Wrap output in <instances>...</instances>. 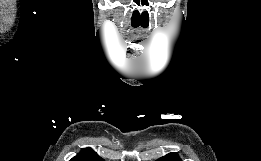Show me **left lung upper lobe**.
Wrapping results in <instances>:
<instances>
[{"label":"left lung upper lobe","instance_id":"5c2ea615","mask_svg":"<svg viewBox=\"0 0 261 161\" xmlns=\"http://www.w3.org/2000/svg\"><path fill=\"white\" fill-rule=\"evenodd\" d=\"M157 161H181L175 152L169 153L166 156L158 159Z\"/></svg>","mask_w":261,"mask_h":161}]
</instances>
